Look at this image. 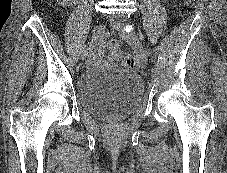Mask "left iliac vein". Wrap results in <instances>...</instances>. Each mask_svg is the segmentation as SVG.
Wrapping results in <instances>:
<instances>
[{"label": "left iliac vein", "mask_w": 227, "mask_h": 173, "mask_svg": "<svg viewBox=\"0 0 227 173\" xmlns=\"http://www.w3.org/2000/svg\"><path fill=\"white\" fill-rule=\"evenodd\" d=\"M113 26L116 27L120 36L130 45L135 51L138 53L142 63H147L148 61V53L143 47L141 41L138 36L134 32H125L122 28V24L120 22H114Z\"/></svg>", "instance_id": "4c4485c4"}]
</instances>
